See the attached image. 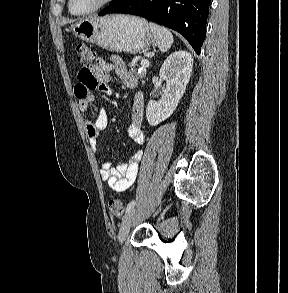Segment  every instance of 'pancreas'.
I'll return each instance as SVG.
<instances>
[{"instance_id":"pancreas-1","label":"pancreas","mask_w":288,"mask_h":293,"mask_svg":"<svg viewBox=\"0 0 288 293\" xmlns=\"http://www.w3.org/2000/svg\"><path fill=\"white\" fill-rule=\"evenodd\" d=\"M128 66L130 67L131 72L136 75V77L143 78L145 76V74H146V67H143L139 71L135 62L128 63Z\"/></svg>"}]
</instances>
